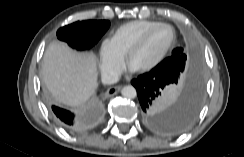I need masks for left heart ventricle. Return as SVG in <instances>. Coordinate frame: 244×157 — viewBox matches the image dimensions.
<instances>
[{
    "label": "left heart ventricle",
    "instance_id": "b2bd125f",
    "mask_svg": "<svg viewBox=\"0 0 244 157\" xmlns=\"http://www.w3.org/2000/svg\"><path fill=\"white\" fill-rule=\"evenodd\" d=\"M172 37L173 32L170 28L160 27L154 30L143 46L133 55L130 66L138 69L154 61L170 44Z\"/></svg>",
    "mask_w": 244,
    "mask_h": 157
}]
</instances>
